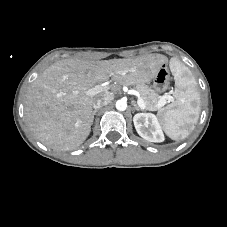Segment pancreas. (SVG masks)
<instances>
[{"label": "pancreas", "mask_w": 227, "mask_h": 227, "mask_svg": "<svg viewBox=\"0 0 227 227\" xmlns=\"http://www.w3.org/2000/svg\"><path fill=\"white\" fill-rule=\"evenodd\" d=\"M136 90L140 93L141 98L145 103V109L149 111H161L162 106H159V101L164 96H159L153 89L145 84H137Z\"/></svg>", "instance_id": "cf45deb5"}]
</instances>
